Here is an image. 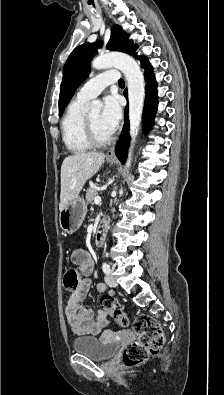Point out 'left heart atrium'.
<instances>
[{
	"instance_id": "39dd6f15",
	"label": "left heart atrium",
	"mask_w": 224,
	"mask_h": 395,
	"mask_svg": "<svg viewBox=\"0 0 224 395\" xmlns=\"http://www.w3.org/2000/svg\"><path fill=\"white\" fill-rule=\"evenodd\" d=\"M122 116L120 100L116 95H108L103 100L100 119L105 129L111 134L116 130Z\"/></svg>"
}]
</instances>
